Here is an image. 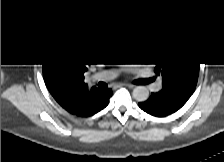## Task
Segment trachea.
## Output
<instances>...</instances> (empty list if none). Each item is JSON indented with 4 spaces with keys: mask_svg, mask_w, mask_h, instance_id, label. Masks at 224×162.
Wrapping results in <instances>:
<instances>
[{
    "mask_svg": "<svg viewBox=\"0 0 224 162\" xmlns=\"http://www.w3.org/2000/svg\"><path fill=\"white\" fill-rule=\"evenodd\" d=\"M98 86H99L100 88H105V87H107V84H105L104 82H99V83H98Z\"/></svg>",
    "mask_w": 224,
    "mask_h": 162,
    "instance_id": "1",
    "label": "trachea"
}]
</instances>
